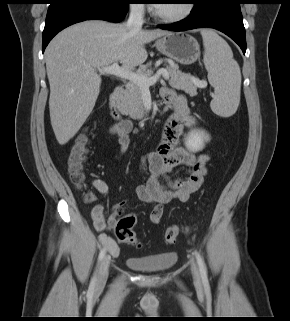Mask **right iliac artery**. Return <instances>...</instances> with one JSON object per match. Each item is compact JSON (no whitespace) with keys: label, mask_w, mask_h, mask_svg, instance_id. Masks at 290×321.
<instances>
[{"label":"right iliac artery","mask_w":290,"mask_h":321,"mask_svg":"<svg viewBox=\"0 0 290 321\" xmlns=\"http://www.w3.org/2000/svg\"><path fill=\"white\" fill-rule=\"evenodd\" d=\"M105 253H106V246H104L99 253L98 263L102 261L103 257L105 256ZM95 283H96V272L91 280L89 290H94Z\"/></svg>","instance_id":"1"}]
</instances>
